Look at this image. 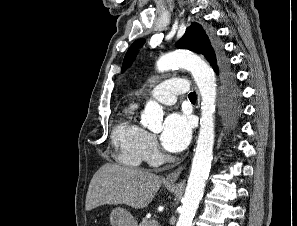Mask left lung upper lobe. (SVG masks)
Here are the masks:
<instances>
[{"mask_svg": "<svg viewBox=\"0 0 297 226\" xmlns=\"http://www.w3.org/2000/svg\"><path fill=\"white\" fill-rule=\"evenodd\" d=\"M144 42L145 40L141 39L134 42L130 46L123 61L122 72L125 71L127 67H129L132 64V61L135 59L137 49L141 47ZM175 45L177 48L188 49L204 55L206 59L210 62L214 70L218 72L215 53L201 25L197 23H192L191 26H189L186 29V32L183 35V37L179 41H177Z\"/></svg>", "mask_w": 297, "mask_h": 226, "instance_id": "obj_1", "label": "left lung upper lobe"}]
</instances>
